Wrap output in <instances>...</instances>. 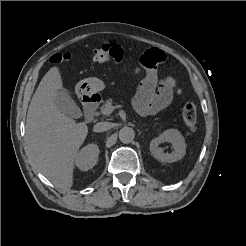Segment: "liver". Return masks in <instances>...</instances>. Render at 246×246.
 Instances as JSON below:
<instances>
[{"mask_svg":"<svg viewBox=\"0 0 246 246\" xmlns=\"http://www.w3.org/2000/svg\"><path fill=\"white\" fill-rule=\"evenodd\" d=\"M62 84L58 67L50 68L40 81L27 112L26 151L40 173L57 188L69 190L88 126L76 123L56 107L54 99Z\"/></svg>","mask_w":246,"mask_h":246,"instance_id":"obj_1","label":"liver"}]
</instances>
